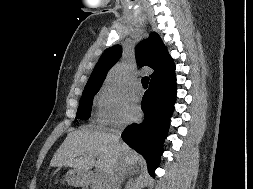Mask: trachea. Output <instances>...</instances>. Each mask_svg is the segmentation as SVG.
<instances>
[{
	"instance_id": "1",
	"label": "trachea",
	"mask_w": 253,
	"mask_h": 189,
	"mask_svg": "<svg viewBox=\"0 0 253 189\" xmlns=\"http://www.w3.org/2000/svg\"><path fill=\"white\" fill-rule=\"evenodd\" d=\"M148 83H149V77H143L142 78V85L144 88L148 87Z\"/></svg>"
}]
</instances>
